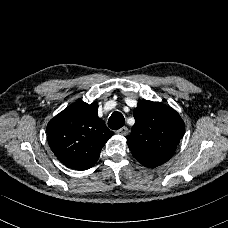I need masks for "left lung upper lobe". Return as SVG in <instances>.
<instances>
[{
  "label": "left lung upper lobe",
  "mask_w": 228,
  "mask_h": 228,
  "mask_svg": "<svg viewBox=\"0 0 228 228\" xmlns=\"http://www.w3.org/2000/svg\"><path fill=\"white\" fill-rule=\"evenodd\" d=\"M135 124L127 136L133 156L145 167L167 162L185 132L179 114L160 102L141 100L134 110Z\"/></svg>",
  "instance_id": "obj_1"
}]
</instances>
